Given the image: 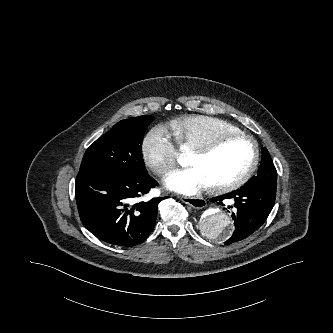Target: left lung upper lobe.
I'll list each match as a JSON object with an SVG mask.
<instances>
[{
  "instance_id": "1",
  "label": "left lung upper lobe",
  "mask_w": 333,
  "mask_h": 333,
  "mask_svg": "<svg viewBox=\"0 0 333 333\" xmlns=\"http://www.w3.org/2000/svg\"><path fill=\"white\" fill-rule=\"evenodd\" d=\"M277 171L266 148H262V160L257 175L243 187L276 191Z\"/></svg>"
}]
</instances>
